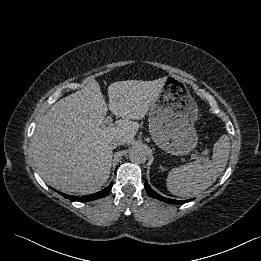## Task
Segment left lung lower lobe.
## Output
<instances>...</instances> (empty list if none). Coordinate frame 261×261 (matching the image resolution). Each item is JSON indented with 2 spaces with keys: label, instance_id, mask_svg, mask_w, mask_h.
Masks as SVG:
<instances>
[{
  "label": "left lung lower lobe",
  "instance_id": "0a47b994",
  "mask_svg": "<svg viewBox=\"0 0 261 261\" xmlns=\"http://www.w3.org/2000/svg\"><path fill=\"white\" fill-rule=\"evenodd\" d=\"M145 189H146L149 196L156 198V199H159V200L166 202V203L184 204V203H187V202H190V201L193 200V199H188V200H180L179 201V200H173V199H169V198H165L163 196H160L154 190L151 189V187L148 185L147 180L145 181Z\"/></svg>",
  "mask_w": 261,
  "mask_h": 261
}]
</instances>
